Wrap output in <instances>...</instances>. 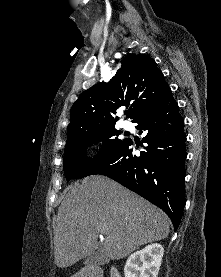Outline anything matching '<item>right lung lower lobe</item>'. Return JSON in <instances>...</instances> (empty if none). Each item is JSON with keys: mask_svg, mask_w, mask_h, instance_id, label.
I'll list each match as a JSON object with an SVG mask.
<instances>
[{"mask_svg": "<svg viewBox=\"0 0 221 277\" xmlns=\"http://www.w3.org/2000/svg\"><path fill=\"white\" fill-rule=\"evenodd\" d=\"M133 122L140 133L146 132L140 156L134 154V143L127 139L91 174L108 176L161 208L176 231L185 204L187 154L184 121L171 90L147 106Z\"/></svg>", "mask_w": 221, "mask_h": 277, "instance_id": "obj_1", "label": "right lung lower lobe"}]
</instances>
